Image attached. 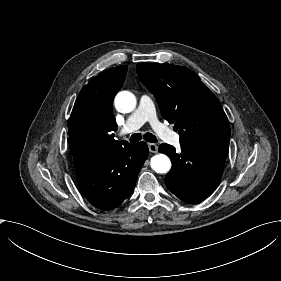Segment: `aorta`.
<instances>
[{
    "label": "aorta",
    "mask_w": 281,
    "mask_h": 281,
    "mask_svg": "<svg viewBox=\"0 0 281 281\" xmlns=\"http://www.w3.org/2000/svg\"><path fill=\"white\" fill-rule=\"evenodd\" d=\"M114 103L118 112L130 113L135 109L137 101L133 93L121 91L116 95ZM150 165L156 173L163 174L170 171L171 160L165 154L159 153L151 158Z\"/></svg>",
    "instance_id": "aorta-1"
}]
</instances>
